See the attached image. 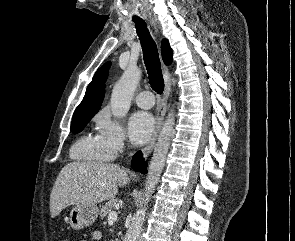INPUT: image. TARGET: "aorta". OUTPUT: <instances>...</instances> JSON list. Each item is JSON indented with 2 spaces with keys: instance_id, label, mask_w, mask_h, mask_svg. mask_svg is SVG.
I'll use <instances>...</instances> for the list:
<instances>
[{
  "instance_id": "762f6f07",
  "label": "aorta",
  "mask_w": 295,
  "mask_h": 241,
  "mask_svg": "<svg viewBox=\"0 0 295 241\" xmlns=\"http://www.w3.org/2000/svg\"><path fill=\"white\" fill-rule=\"evenodd\" d=\"M141 70L136 66L128 67L120 80L115 84L110 99L112 115L116 118L124 117L130 108L134 91L141 79ZM174 110L168 113L165 123L160 131L158 141L149 164L145 184L143 205L134 214L131 224L126 232L124 241H136L144 222L147 204L159 182L160 175L165 165L166 156L170 148L171 137L174 132Z\"/></svg>"
}]
</instances>
